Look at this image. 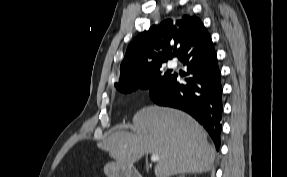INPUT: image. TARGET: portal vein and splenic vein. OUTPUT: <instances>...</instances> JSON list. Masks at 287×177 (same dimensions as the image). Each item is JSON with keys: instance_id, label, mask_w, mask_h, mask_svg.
Wrapping results in <instances>:
<instances>
[{"instance_id": "18ae733b", "label": "portal vein and splenic vein", "mask_w": 287, "mask_h": 177, "mask_svg": "<svg viewBox=\"0 0 287 177\" xmlns=\"http://www.w3.org/2000/svg\"><path fill=\"white\" fill-rule=\"evenodd\" d=\"M150 159L152 162H158L159 156H158V154H152Z\"/></svg>"}]
</instances>
